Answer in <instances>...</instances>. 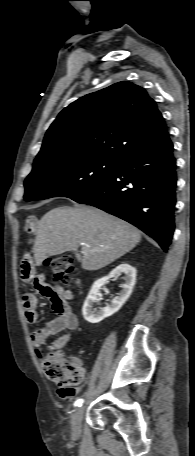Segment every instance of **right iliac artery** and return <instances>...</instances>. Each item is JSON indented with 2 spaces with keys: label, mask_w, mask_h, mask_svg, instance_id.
I'll use <instances>...</instances> for the list:
<instances>
[{
  "label": "right iliac artery",
  "mask_w": 195,
  "mask_h": 456,
  "mask_svg": "<svg viewBox=\"0 0 195 456\" xmlns=\"http://www.w3.org/2000/svg\"><path fill=\"white\" fill-rule=\"evenodd\" d=\"M83 402H84L83 399H78V400L75 401L74 406L75 407H77V406L79 407V406H81L83 404Z\"/></svg>",
  "instance_id": "obj_1"
}]
</instances>
